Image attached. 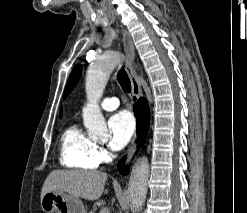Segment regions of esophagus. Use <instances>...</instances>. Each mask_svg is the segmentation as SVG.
I'll return each mask as SVG.
<instances>
[{"mask_svg":"<svg viewBox=\"0 0 247 213\" xmlns=\"http://www.w3.org/2000/svg\"><path fill=\"white\" fill-rule=\"evenodd\" d=\"M122 38L124 43V49L126 53V71L131 81L132 93L138 99L142 96L140 83L137 79L135 70L133 68V61L135 59V48L130 34L126 30H122ZM136 148L135 141L127 153V160H129Z\"/></svg>","mask_w":247,"mask_h":213,"instance_id":"obj_1","label":"esophagus"}]
</instances>
